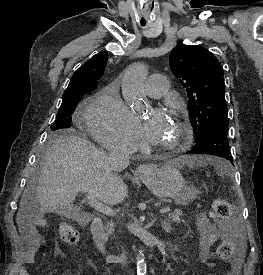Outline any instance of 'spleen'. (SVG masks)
<instances>
[{"label":"spleen","mask_w":263,"mask_h":275,"mask_svg":"<svg viewBox=\"0 0 263 275\" xmlns=\"http://www.w3.org/2000/svg\"><path fill=\"white\" fill-rule=\"evenodd\" d=\"M187 163L190 165H192V164H199V165L206 164L204 161H198L197 163H195V161H191V162H187ZM211 164H213V166L216 169V172L221 176L228 174L230 171V165H229V163H227L225 161L215 160V161H212Z\"/></svg>","instance_id":"3e777b00"}]
</instances>
